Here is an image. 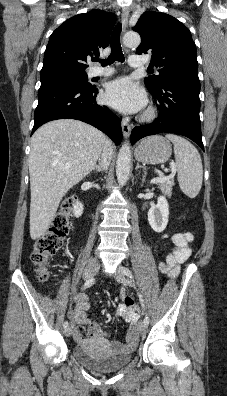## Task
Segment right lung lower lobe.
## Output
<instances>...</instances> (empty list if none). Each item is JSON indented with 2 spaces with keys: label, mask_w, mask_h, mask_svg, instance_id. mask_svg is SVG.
I'll return each mask as SVG.
<instances>
[{
  "label": "right lung lower lobe",
  "mask_w": 227,
  "mask_h": 396,
  "mask_svg": "<svg viewBox=\"0 0 227 396\" xmlns=\"http://www.w3.org/2000/svg\"><path fill=\"white\" fill-rule=\"evenodd\" d=\"M97 93L94 86L84 87L67 81L41 84L31 134L46 122L69 118L98 128L119 145L122 140L120 120L108 107L96 103Z\"/></svg>",
  "instance_id": "98d812e1"
}]
</instances>
